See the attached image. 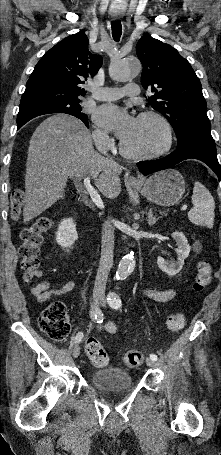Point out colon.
I'll return each instance as SVG.
<instances>
[{"mask_svg":"<svg viewBox=\"0 0 221 455\" xmlns=\"http://www.w3.org/2000/svg\"><path fill=\"white\" fill-rule=\"evenodd\" d=\"M25 202V193L22 189H15L11 193L10 215L14 220H20L22 207ZM53 219L45 216L35 220L30 226L21 231L22 243L19 247L21 267L24 271L25 280L32 282L40 277L39 269V246L43 236L53 227ZM212 269L208 262L199 264L193 283L196 291L203 290L211 281ZM40 329L54 340H64L70 333V321L66 306L62 302H53L41 312L39 320ZM184 325V317L181 313H172L166 318V326L170 331H180ZM85 352L95 367H104L109 363V356L95 337H89L85 342ZM143 354L139 351H129L122 355L124 366L134 368L143 361Z\"/></svg>","mask_w":221,"mask_h":455,"instance_id":"obj_1","label":"colon"}]
</instances>
